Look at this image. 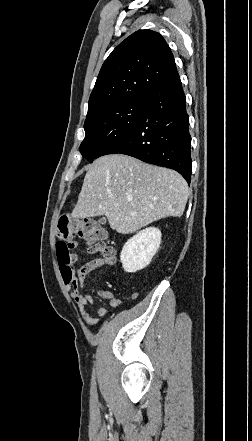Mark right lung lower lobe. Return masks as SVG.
Masks as SVG:
<instances>
[{
    "instance_id": "obj_1",
    "label": "right lung lower lobe",
    "mask_w": 252,
    "mask_h": 441,
    "mask_svg": "<svg viewBox=\"0 0 252 441\" xmlns=\"http://www.w3.org/2000/svg\"><path fill=\"white\" fill-rule=\"evenodd\" d=\"M144 110L133 129L107 154H125L171 168L191 180V136L186 99L178 73L144 95Z\"/></svg>"
}]
</instances>
